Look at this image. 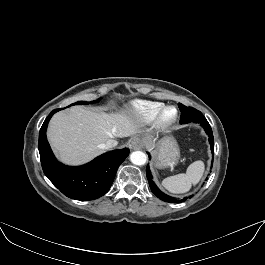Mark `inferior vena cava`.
<instances>
[{"label": "inferior vena cava", "mask_w": 265, "mask_h": 265, "mask_svg": "<svg viewBox=\"0 0 265 265\" xmlns=\"http://www.w3.org/2000/svg\"><path fill=\"white\" fill-rule=\"evenodd\" d=\"M117 144L118 143H117L116 140L109 139L104 144H102V148L105 149V150H108V149H111V148L115 147Z\"/></svg>", "instance_id": "602c4592"}]
</instances>
